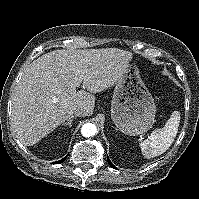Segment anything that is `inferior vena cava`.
I'll return each mask as SVG.
<instances>
[{"mask_svg": "<svg viewBox=\"0 0 199 199\" xmlns=\"http://www.w3.org/2000/svg\"><path fill=\"white\" fill-rule=\"evenodd\" d=\"M73 114H75L76 116H86L87 111L83 106L79 105L73 109Z\"/></svg>", "mask_w": 199, "mask_h": 199, "instance_id": "1", "label": "inferior vena cava"}]
</instances>
